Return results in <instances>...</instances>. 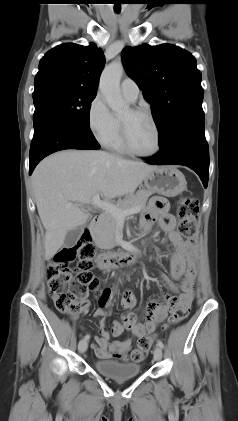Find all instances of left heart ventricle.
<instances>
[{"mask_svg": "<svg viewBox=\"0 0 238 421\" xmlns=\"http://www.w3.org/2000/svg\"><path fill=\"white\" fill-rule=\"evenodd\" d=\"M120 119L126 124L131 145L136 151L146 154L156 148V132L147 116L127 109Z\"/></svg>", "mask_w": 238, "mask_h": 421, "instance_id": "left-heart-ventricle-1", "label": "left heart ventricle"}]
</instances>
